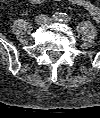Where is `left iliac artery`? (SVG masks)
I'll use <instances>...</instances> for the list:
<instances>
[{
    "label": "left iliac artery",
    "instance_id": "obj_1",
    "mask_svg": "<svg viewBox=\"0 0 100 118\" xmlns=\"http://www.w3.org/2000/svg\"><path fill=\"white\" fill-rule=\"evenodd\" d=\"M70 19L71 18L66 13H63L62 16H61V21L64 22V23H68L70 21Z\"/></svg>",
    "mask_w": 100,
    "mask_h": 118
}]
</instances>
